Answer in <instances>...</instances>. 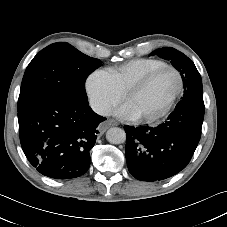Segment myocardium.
<instances>
[{
  "label": "myocardium",
  "instance_id": "1",
  "mask_svg": "<svg viewBox=\"0 0 227 227\" xmlns=\"http://www.w3.org/2000/svg\"><path fill=\"white\" fill-rule=\"evenodd\" d=\"M165 70H172L176 73L178 77V87L172 98L169 100L167 105L161 110L159 113L153 116H148V117H135L133 120L137 122H145V123H154L163 117H165L169 111L172 109L174 106L175 102L181 95L183 88H184V80H183V75L180 72L179 69L172 65H165L163 67H160L149 74H147L145 77H143L141 80H139L137 83H135L133 86H131L126 92L123 94V103L125 104L126 101L133 95L137 94L141 90H143L147 85L150 84V82L158 76L161 72Z\"/></svg>",
  "mask_w": 227,
  "mask_h": 227
}]
</instances>
